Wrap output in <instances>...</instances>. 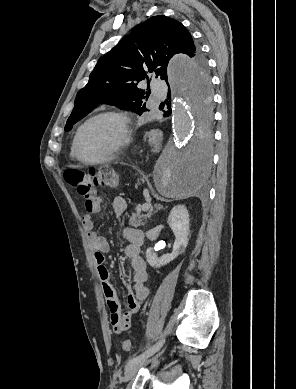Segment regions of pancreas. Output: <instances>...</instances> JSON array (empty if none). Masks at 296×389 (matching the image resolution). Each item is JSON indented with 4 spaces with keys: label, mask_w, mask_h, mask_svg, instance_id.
Masks as SVG:
<instances>
[{
    "label": "pancreas",
    "mask_w": 296,
    "mask_h": 389,
    "mask_svg": "<svg viewBox=\"0 0 296 389\" xmlns=\"http://www.w3.org/2000/svg\"><path fill=\"white\" fill-rule=\"evenodd\" d=\"M150 216H151L150 212L147 214H141L139 209L137 213H133L129 217V225L133 227L144 226L147 222V219L150 218Z\"/></svg>",
    "instance_id": "pancreas-1"
}]
</instances>
